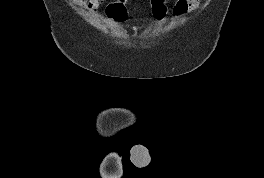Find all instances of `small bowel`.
Masks as SVG:
<instances>
[{
  "label": "small bowel",
  "mask_w": 264,
  "mask_h": 178,
  "mask_svg": "<svg viewBox=\"0 0 264 178\" xmlns=\"http://www.w3.org/2000/svg\"><path fill=\"white\" fill-rule=\"evenodd\" d=\"M75 4L84 7L88 12H94L105 4L106 0H73ZM202 0H174L171 7V18H180L195 10Z\"/></svg>",
  "instance_id": "small-bowel-1"
}]
</instances>
